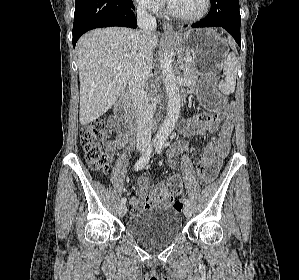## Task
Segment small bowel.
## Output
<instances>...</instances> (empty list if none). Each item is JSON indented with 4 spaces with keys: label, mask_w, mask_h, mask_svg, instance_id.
<instances>
[{
    "label": "small bowel",
    "mask_w": 299,
    "mask_h": 280,
    "mask_svg": "<svg viewBox=\"0 0 299 280\" xmlns=\"http://www.w3.org/2000/svg\"><path fill=\"white\" fill-rule=\"evenodd\" d=\"M218 125L213 121L199 122L196 118L188 119L178 125L179 133L185 137L201 136L206 133H215ZM233 130V122L228 119L221 126L216 138L208 142L205 148H194L198 153L202 154V159L207 162L209 169V178H213L221 167L222 161L227 156L230 149V139ZM127 140L125 136L120 135L116 140L110 141L107 144V152L111 157L117 148L125 146ZM180 150V146H175L170 150V154H174ZM168 165L171 169L175 168V163L170 160ZM138 188L137 196L129 199L133 210L140 211L139 206L144 209L164 206L170 207L173 205L175 196L183 191L182 180L177 173H173L165 182H160L157 185H150L147 177L141 176L137 179Z\"/></svg>",
    "instance_id": "1"
}]
</instances>
